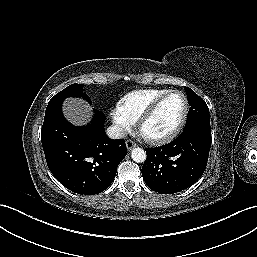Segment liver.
I'll return each mask as SVG.
<instances>
[{
	"label": "liver",
	"mask_w": 257,
	"mask_h": 257,
	"mask_svg": "<svg viewBox=\"0 0 257 257\" xmlns=\"http://www.w3.org/2000/svg\"><path fill=\"white\" fill-rule=\"evenodd\" d=\"M63 113L68 121L77 126L87 124L92 116L91 107L78 98L66 99L63 103Z\"/></svg>",
	"instance_id": "6515ba94"
}]
</instances>
